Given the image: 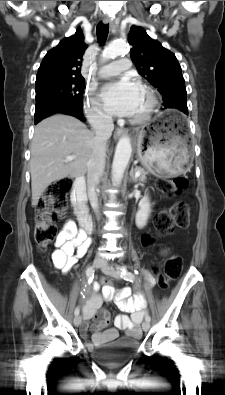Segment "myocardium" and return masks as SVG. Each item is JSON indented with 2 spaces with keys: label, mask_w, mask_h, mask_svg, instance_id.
<instances>
[{
  "label": "myocardium",
  "mask_w": 225,
  "mask_h": 395,
  "mask_svg": "<svg viewBox=\"0 0 225 395\" xmlns=\"http://www.w3.org/2000/svg\"><path fill=\"white\" fill-rule=\"evenodd\" d=\"M141 89L146 94L147 106L145 111L141 115L133 117L131 119V122L135 124H141L149 120L157 106V98L154 91L147 85H142Z\"/></svg>",
  "instance_id": "myocardium-1"
}]
</instances>
